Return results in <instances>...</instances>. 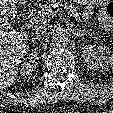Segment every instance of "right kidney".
Masks as SVG:
<instances>
[{"label": "right kidney", "instance_id": "ca27d5eb", "mask_svg": "<svg viewBox=\"0 0 113 113\" xmlns=\"http://www.w3.org/2000/svg\"><path fill=\"white\" fill-rule=\"evenodd\" d=\"M39 59V54L36 51H33L29 57L25 59V62L21 66L20 73L22 76L31 75L32 72L36 69L37 60Z\"/></svg>", "mask_w": 113, "mask_h": 113}]
</instances>
